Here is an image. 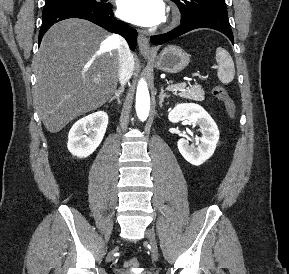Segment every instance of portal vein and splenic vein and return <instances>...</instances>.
Segmentation results:
<instances>
[{"mask_svg":"<svg viewBox=\"0 0 289 274\" xmlns=\"http://www.w3.org/2000/svg\"><path fill=\"white\" fill-rule=\"evenodd\" d=\"M181 86H186V83H180L176 86H168L166 89L168 91H176V90H179Z\"/></svg>","mask_w":289,"mask_h":274,"instance_id":"1","label":"portal vein and splenic vein"}]
</instances>
